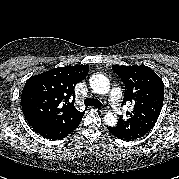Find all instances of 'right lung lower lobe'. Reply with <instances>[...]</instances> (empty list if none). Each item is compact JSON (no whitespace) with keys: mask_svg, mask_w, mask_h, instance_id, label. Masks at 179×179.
Listing matches in <instances>:
<instances>
[{"mask_svg":"<svg viewBox=\"0 0 179 179\" xmlns=\"http://www.w3.org/2000/svg\"><path fill=\"white\" fill-rule=\"evenodd\" d=\"M70 132H66L64 135L60 136L59 139H62L63 137H66Z\"/></svg>","mask_w":179,"mask_h":179,"instance_id":"1","label":"right lung lower lobe"}]
</instances>
